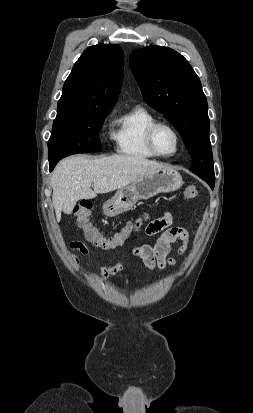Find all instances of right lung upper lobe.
<instances>
[{
	"mask_svg": "<svg viewBox=\"0 0 253 413\" xmlns=\"http://www.w3.org/2000/svg\"><path fill=\"white\" fill-rule=\"evenodd\" d=\"M123 69L124 54L120 46L88 47L64 83L56 118L111 110L121 90Z\"/></svg>",
	"mask_w": 253,
	"mask_h": 413,
	"instance_id": "obj_1",
	"label": "right lung upper lobe"
}]
</instances>
